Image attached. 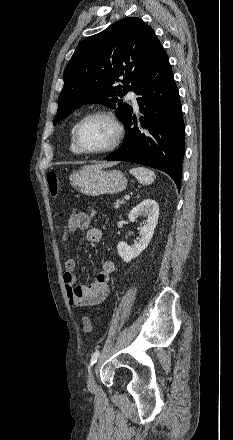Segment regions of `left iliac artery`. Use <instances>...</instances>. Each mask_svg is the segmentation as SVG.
I'll return each mask as SVG.
<instances>
[{"instance_id": "left-iliac-artery-1", "label": "left iliac artery", "mask_w": 233, "mask_h": 440, "mask_svg": "<svg viewBox=\"0 0 233 440\" xmlns=\"http://www.w3.org/2000/svg\"><path fill=\"white\" fill-rule=\"evenodd\" d=\"M100 352L97 350L95 351L92 356H91V361L90 364L93 365L97 362L98 358H99Z\"/></svg>"}]
</instances>
